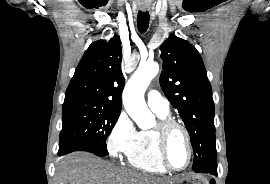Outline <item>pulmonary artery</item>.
I'll return each mask as SVG.
<instances>
[{
  "instance_id": "1",
  "label": "pulmonary artery",
  "mask_w": 270,
  "mask_h": 184,
  "mask_svg": "<svg viewBox=\"0 0 270 184\" xmlns=\"http://www.w3.org/2000/svg\"><path fill=\"white\" fill-rule=\"evenodd\" d=\"M147 104L155 112L167 113L169 111V102L158 91L150 90L147 93Z\"/></svg>"
}]
</instances>
